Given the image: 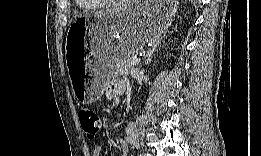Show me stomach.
I'll return each mask as SVG.
<instances>
[{
	"label": "stomach",
	"mask_w": 261,
	"mask_h": 156,
	"mask_svg": "<svg viewBox=\"0 0 261 156\" xmlns=\"http://www.w3.org/2000/svg\"><path fill=\"white\" fill-rule=\"evenodd\" d=\"M176 4L165 1L131 2L112 11L81 17L69 27L65 56L71 86L82 104L95 102L105 88L110 65L133 55L159 38L171 25ZM90 45L91 59L78 63L74 53Z\"/></svg>",
	"instance_id": "1"
}]
</instances>
